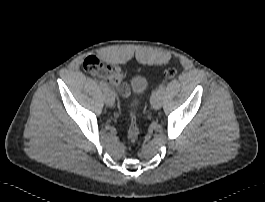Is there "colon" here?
<instances>
[{
  "mask_svg": "<svg viewBox=\"0 0 265 202\" xmlns=\"http://www.w3.org/2000/svg\"><path fill=\"white\" fill-rule=\"evenodd\" d=\"M177 75V70L176 69H168L165 73L166 78L168 79H173ZM139 137V129L138 125L135 119L131 120L129 129H128V138L130 141L134 142L138 139Z\"/></svg>",
  "mask_w": 265,
  "mask_h": 202,
  "instance_id": "colon-1",
  "label": "colon"
}]
</instances>
